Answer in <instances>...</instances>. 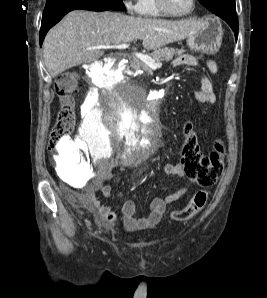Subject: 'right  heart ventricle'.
<instances>
[{"mask_svg": "<svg viewBox=\"0 0 267 298\" xmlns=\"http://www.w3.org/2000/svg\"><path fill=\"white\" fill-rule=\"evenodd\" d=\"M139 14L144 18L165 17V15L158 10L155 0H141Z\"/></svg>", "mask_w": 267, "mask_h": 298, "instance_id": "e07e8e85", "label": "right heart ventricle"}]
</instances>
